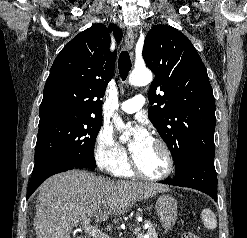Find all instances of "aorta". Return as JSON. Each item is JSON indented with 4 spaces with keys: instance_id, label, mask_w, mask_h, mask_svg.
Returning <instances> with one entry per match:
<instances>
[{
    "instance_id": "aorta-1",
    "label": "aorta",
    "mask_w": 247,
    "mask_h": 238,
    "mask_svg": "<svg viewBox=\"0 0 247 238\" xmlns=\"http://www.w3.org/2000/svg\"><path fill=\"white\" fill-rule=\"evenodd\" d=\"M151 81L152 73L148 69L134 70L129 77V83L133 86H144L149 84ZM113 121L118 127L123 125L121 118L118 116H115ZM129 136L130 133L125 132L122 136V139L126 141Z\"/></svg>"
}]
</instances>
